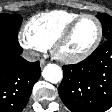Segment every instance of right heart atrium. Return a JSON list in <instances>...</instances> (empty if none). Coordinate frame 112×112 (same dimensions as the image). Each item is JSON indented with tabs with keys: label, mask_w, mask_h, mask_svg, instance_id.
Returning <instances> with one entry per match:
<instances>
[{
	"label": "right heart atrium",
	"mask_w": 112,
	"mask_h": 112,
	"mask_svg": "<svg viewBox=\"0 0 112 112\" xmlns=\"http://www.w3.org/2000/svg\"><path fill=\"white\" fill-rule=\"evenodd\" d=\"M18 39L21 46L33 56L45 52L48 48L45 44L35 38L26 26L20 30Z\"/></svg>",
	"instance_id": "right-heart-atrium-1"
}]
</instances>
